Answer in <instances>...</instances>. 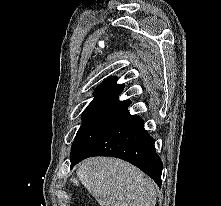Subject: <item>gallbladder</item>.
Instances as JSON below:
<instances>
[{"mask_svg": "<svg viewBox=\"0 0 221 206\" xmlns=\"http://www.w3.org/2000/svg\"><path fill=\"white\" fill-rule=\"evenodd\" d=\"M77 189H78V190H81V189H82V186H81V185H78V186H77Z\"/></svg>", "mask_w": 221, "mask_h": 206, "instance_id": "1", "label": "gallbladder"}]
</instances>
